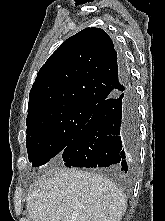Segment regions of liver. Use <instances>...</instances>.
Returning a JSON list of instances; mask_svg holds the SVG:
<instances>
[{"label":"liver","instance_id":"obj_1","mask_svg":"<svg viewBox=\"0 0 165 221\" xmlns=\"http://www.w3.org/2000/svg\"><path fill=\"white\" fill-rule=\"evenodd\" d=\"M126 209L112 181L74 168H50L27 198L32 221H121Z\"/></svg>","mask_w":165,"mask_h":221}]
</instances>
